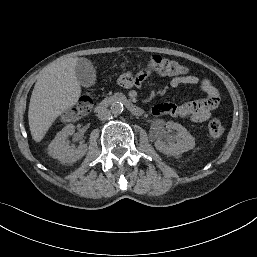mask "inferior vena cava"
I'll return each mask as SVG.
<instances>
[{"mask_svg":"<svg viewBox=\"0 0 257 257\" xmlns=\"http://www.w3.org/2000/svg\"><path fill=\"white\" fill-rule=\"evenodd\" d=\"M97 116L99 120H108L111 117V111L106 108H99Z\"/></svg>","mask_w":257,"mask_h":257,"instance_id":"1","label":"inferior vena cava"}]
</instances>
